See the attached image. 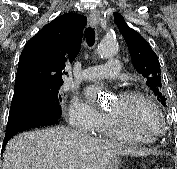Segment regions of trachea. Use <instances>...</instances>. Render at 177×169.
<instances>
[{"label":"trachea","instance_id":"obj_1","mask_svg":"<svg viewBox=\"0 0 177 169\" xmlns=\"http://www.w3.org/2000/svg\"><path fill=\"white\" fill-rule=\"evenodd\" d=\"M85 37H86V42L88 44V46H93L94 42H95V31L93 28L88 27L85 30Z\"/></svg>","mask_w":177,"mask_h":169}]
</instances>
